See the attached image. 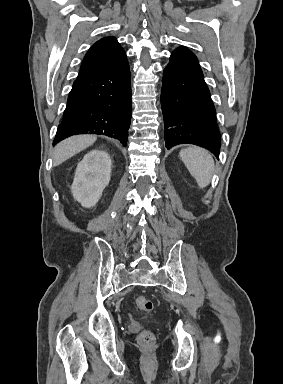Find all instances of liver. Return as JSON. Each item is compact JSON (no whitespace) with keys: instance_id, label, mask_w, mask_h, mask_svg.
Here are the masks:
<instances>
[{"instance_id":"6515ba94","label":"liver","mask_w":283,"mask_h":384,"mask_svg":"<svg viewBox=\"0 0 283 384\" xmlns=\"http://www.w3.org/2000/svg\"><path fill=\"white\" fill-rule=\"evenodd\" d=\"M96 140L97 136H71V138L63 140V142L57 144L54 150V166H59V164H62L65 160H69V158L78 154V152L86 150V148L92 146Z\"/></svg>"}]
</instances>
